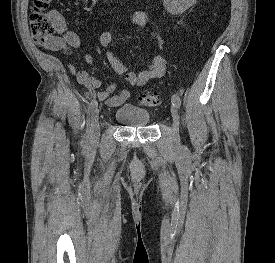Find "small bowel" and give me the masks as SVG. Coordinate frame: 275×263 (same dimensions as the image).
I'll return each mask as SVG.
<instances>
[{"label":"small bowel","instance_id":"1","mask_svg":"<svg viewBox=\"0 0 275 263\" xmlns=\"http://www.w3.org/2000/svg\"><path fill=\"white\" fill-rule=\"evenodd\" d=\"M127 17L132 23L139 27H145L149 22V15L142 11H131L128 13ZM52 18L57 27L58 35L51 41L43 44V46L48 50L63 51L71 55L73 50L80 46L78 35L66 29L65 23L58 13H53ZM98 41L103 48L109 47L112 42L111 33L107 31L101 33ZM106 57L113 71L118 76L124 77L131 88L139 87L150 80L161 78L167 68L166 59L160 55L152 57L138 73L130 71L111 51L106 52ZM84 60L88 64L92 62L90 55H84ZM67 67L76 78L77 82L82 85L92 97L105 102L109 107H119L124 104L131 95L130 89H123L115 94L114 92L117 88L116 83L110 84L102 91H97L102 85L100 79L90 75L82 68H76L71 63H68Z\"/></svg>","mask_w":275,"mask_h":263}]
</instances>
